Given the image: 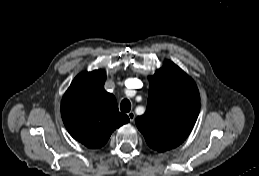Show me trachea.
Masks as SVG:
<instances>
[{
  "label": "trachea",
  "instance_id": "obj_1",
  "mask_svg": "<svg viewBox=\"0 0 259 176\" xmlns=\"http://www.w3.org/2000/svg\"><path fill=\"white\" fill-rule=\"evenodd\" d=\"M131 109V103L128 99L122 100L120 104V110L123 112H129Z\"/></svg>",
  "mask_w": 259,
  "mask_h": 176
}]
</instances>
